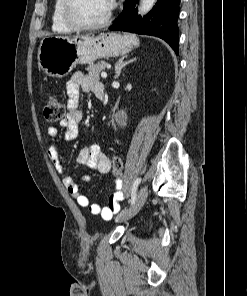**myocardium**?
<instances>
[{
    "label": "myocardium",
    "instance_id": "1",
    "mask_svg": "<svg viewBox=\"0 0 247 296\" xmlns=\"http://www.w3.org/2000/svg\"><path fill=\"white\" fill-rule=\"evenodd\" d=\"M78 0H64L62 15L65 23L73 30L76 31H91L107 27L112 21V10L110 9L107 17L95 24H84L78 20L75 15V8Z\"/></svg>",
    "mask_w": 247,
    "mask_h": 296
}]
</instances>
